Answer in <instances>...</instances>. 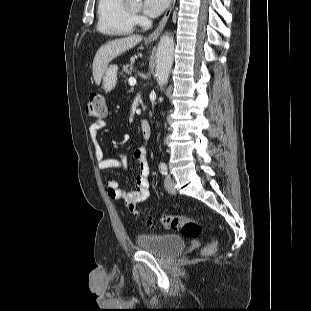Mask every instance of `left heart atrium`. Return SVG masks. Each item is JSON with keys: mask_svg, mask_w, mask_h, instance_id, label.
<instances>
[{"mask_svg": "<svg viewBox=\"0 0 311 311\" xmlns=\"http://www.w3.org/2000/svg\"><path fill=\"white\" fill-rule=\"evenodd\" d=\"M171 0H144L143 11L150 17L161 14L169 5Z\"/></svg>", "mask_w": 311, "mask_h": 311, "instance_id": "1", "label": "left heart atrium"}]
</instances>
